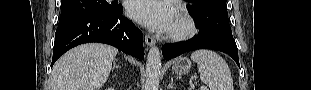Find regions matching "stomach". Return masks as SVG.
<instances>
[{
    "mask_svg": "<svg viewBox=\"0 0 311 90\" xmlns=\"http://www.w3.org/2000/svg\"><path fill=\"white\" fill-rule=\"evenodd\" d=\"M190 69L191 62L185 57L178 58L172 66L173 72L178 75H185L190 71Z\"/></svg>",
    "mask_w": 311,
    "mask_h": 90,
    "instance_id": "0dacf381",
    "label": "stomach"
}]
</instances>
